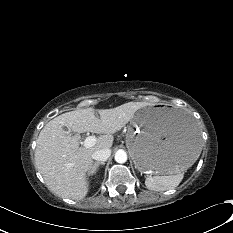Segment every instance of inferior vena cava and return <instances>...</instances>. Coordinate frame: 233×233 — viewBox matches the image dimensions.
<instances>
[{
    "label": "inferior vena cava",
    "mask_w": 233,
    "mask_h": 233,
    "mask_svg": "<svg viewBox=\"0 0 233 233\" xmlns=\"http://www.w3.org/2000/svg\"><path fill=\"white\" fill-rule=\"evenodd\" d=\"M110 155H111V150L108 148H103L95 151L92 154V159L96 161L104 162L110 157Z\"/></svg>",
    "instance_id": "obj_1"
}]
</instances>
